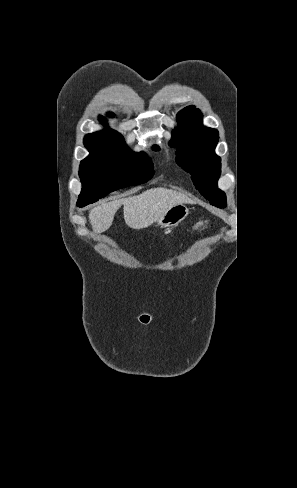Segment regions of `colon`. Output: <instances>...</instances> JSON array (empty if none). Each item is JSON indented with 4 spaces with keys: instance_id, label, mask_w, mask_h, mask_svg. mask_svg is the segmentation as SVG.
<instances>
[{
    "instance_id": "colon-1",
    "label": "colon",
    "mask_w": 297,
    "mask_h": 488,
    "mask_svg": "<svg viewBox=\"0 0 297 488\" xmlns=\"http://www.w3.org/2000/svg\"><path fill=\"white\" fill-rule=\"evenodd\" d=\"M203 228H204V226H203V225H196V226L193 228V230H192V232H191V233H192V234L197 233L198 231H200V230H201V229H203Z\"/></svg>"
}]
</instances>
